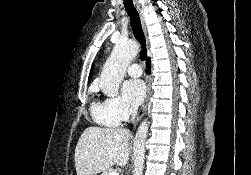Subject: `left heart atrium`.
<instances>
[{
    "instance_id": "left-heart-atrium-1",
    "label": "left heart atrium",
    "mask_w": 251,
    "mask_h": 175,
    "mask_svg": "<svg viewBox=\"0 0 251 175\" xmlns=\"http://www.w3.org/2000/svg\"><path fill=\"white\" fill-rule=\"evenodd\" d=\"M145 84L141 79H129L125 81L122 87V93L125 101L135 107L145 97Z\"/></svg>"
}]
</instances>
